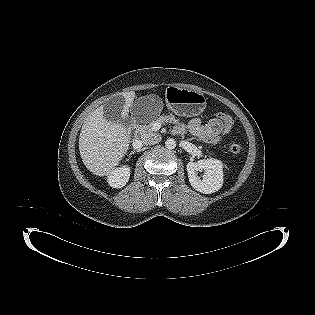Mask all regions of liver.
Segmentation results:
<instances>
[{"label": "liver", "mask_w": 315, "mask_h": 315, "mask_svg": "<svg viewBox=\"0 0 315 315\" xmlns=\"http://www.w3.org/2000/svg\"><path fill=\"white\" fill-rule=\"evenodd\" d=\"M125 101L123 115L128 116L135 93L119 94ZM126 127L105 119L103 106L84 121L79 136V151L84 165L96 176H107L119 165L130 145Z\"/></svg>", "instance_id": "6515ba94"}]
</instances>
